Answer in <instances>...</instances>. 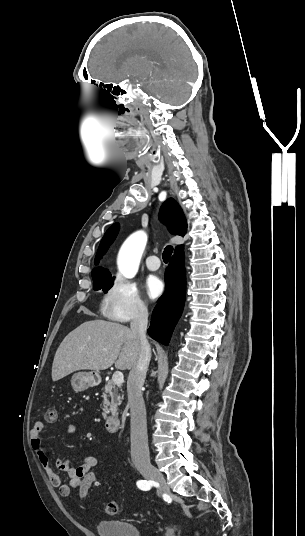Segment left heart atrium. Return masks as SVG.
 Masks as SVG:
<instances>
[{"mask_svg": "<svg viewBox=\"0 0 305 536\" xmlns=\"http://www.w3.org/2000/svg\"><path fill=\"white\" fill-rule=\"evenodd\" d=\"M145 289L151 299H156L162 294L164 284L157 276L150 275L146 279Z\"/></svg>", "mask_w": 305, "mask_h": 536, "instance_id": "left-heart-atrium-1", "label": "left heart atrium"}]
</instances>
